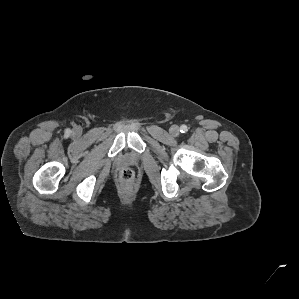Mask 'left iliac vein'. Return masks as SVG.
I'll return each mask as SVG.
<instances>
[{"mask_svg":"<svg viewBox=\"0 0 299 299\" xmlns=\"http://www.w3.org/2000/svg\"><path fill=\"white\" fill-rule=\"evenodd\" d=\"M169 132L172 136H178L179 133H180V129L177 125H173V126L170 127Z\"/></svg>","mask_w":299,"mask_h":299,"instance_id":"obj_1","label":"left iliac vein"}]
</instances>
